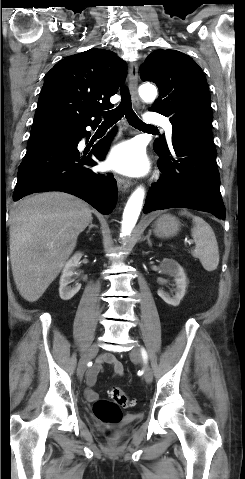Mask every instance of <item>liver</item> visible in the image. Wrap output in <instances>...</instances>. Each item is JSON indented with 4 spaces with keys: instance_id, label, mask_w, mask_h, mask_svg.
<instances>
[{
    "instance_id": "6515ba94",
    "label": "liver",
    "mask_w": 245,
    "mask_h": 479,
    "mask_svg": "<svg viewBox=\"0 0 245 479\" xmlns=\"http://www.w3.org/2000/svg\"><path fill=\"white\" fill-rule=\"evenodd\" d=\"M92 221L82 200L63 192L32 195L15 204L10 225V261L20 295L37 301L58 276Z\"/></svg>"
}]
</instances>
